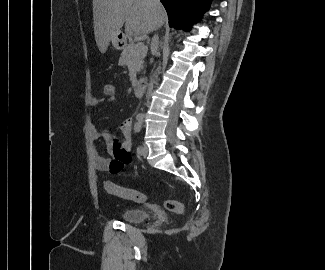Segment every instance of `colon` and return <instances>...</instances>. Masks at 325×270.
I'll return each instance as SVG.
<instances>
[{
    "label": "colon",
    "instance_id": "1",
    "mask_svg": "<svg viewBox=\"0 0 325 270\" xmlns=\"http://www.w3.org/2000/svg\"><path fill=\"white\" fill-rule=\"evenodd\" d=\"M102 93L106 99H114L117 97L116 86L113 83L108 82V83L104 84V86L102 88ZM104 188L109 194L123 198V199L135 201L138 203H142L146 200V197L143 193H141L137 190H133V189H129V188H125V187L116 185V184L112 183L111 181H105ZM165 207L169 211L174 212V213H182L185 209V206L183 203L177 202L175 200H167L165 202Z\"/></svg>",
    "mask_w": 325,
    "mask_h": 270
}]
</instances>
